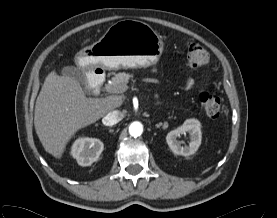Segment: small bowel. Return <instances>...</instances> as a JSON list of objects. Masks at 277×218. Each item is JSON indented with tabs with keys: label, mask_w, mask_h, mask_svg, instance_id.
Wrapping results in <instances>:
<instances>
[{
	"label": "small bowel",
	"mask_w": 277,
	"mask_h": 218,
	"mask_svg": "<svg viewBox=\"0 0 277 218\" xmlns=\"http://www.w3.org/2000/svg\"><path fill=\"white\" fill-rule=\"evenodd\" d=\"M193 85H194V80H193L192 78L186 79V81H185V86H186L187 88H191V87H193Z\"/></svg>",
	"instance_id": "obj_1"
}]
</instances>
